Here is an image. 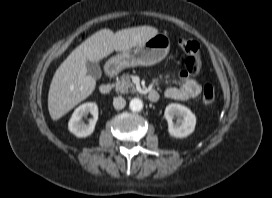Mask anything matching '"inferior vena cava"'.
I'll return each mask as SVG.
<instances>
[{
    "label": "inferior vena cava",
    "mask_w": 272,
    "mask_h": 198,
    "mask_svg": "<svg viewBox=\"0 0 272 198\" xmlns=\"http://www.w3.org/2000/svg\"><path fill=\"white\" fill-rule=\"evenodd\" d=\"M126 105V101L123 97L118 96L113 99V106L115 109L120 110L123 109Z\"/></svg>",
    "instance_id": "obj_1"
}]
</instances>
